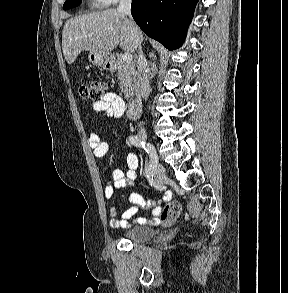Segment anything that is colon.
Returning a JSON list of instances; mask_svg holds the SVG:
<instances>
[{
  "instance_id": "5ec220e1",
  "label": "colon",
  "mask_w": 288,
  "mask_h": 293,
  "mask_svg": "<svg viewBox=\"0 0 288 293\" xmlns=\"http://www.w3.org/2000/svg\"><path fill=\"white\" fill-rule=\"evenodd\" d=\"M107 85L102 81H90L87 84H83L79 88V93L82 98L91 100L94 102L103 99L106 94ZM181 212V205L178 201H171L167 203L161 210L158 216V222L162 226L172 225L178 218Z\"/></svg>"
}]
</instances>
